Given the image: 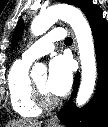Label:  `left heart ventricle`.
Wrapping results in <instances>:
<instances>
[{
	"label": "left heart ventricle",
	"mask_w": 108,
	"mask_h": 127,
	"mask_svg": "<svg viewBox=\"0 0 108 127\" xmlns=\"http://www.w3.org/2000/svg\"><path fill=\"white\" fill-rule=\"evenodd\" d=\"M46 76H42V77H40V78H38V79H36L35 80V82L44 90V91H46V87H45V85H46Z\"/></svg>",
	"instance_id": "left-heart-ventricle-1"
}]
</instances>
